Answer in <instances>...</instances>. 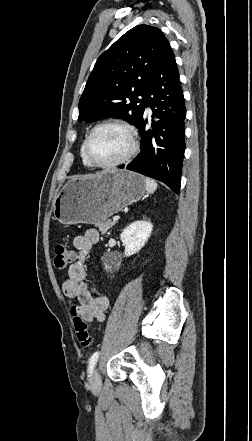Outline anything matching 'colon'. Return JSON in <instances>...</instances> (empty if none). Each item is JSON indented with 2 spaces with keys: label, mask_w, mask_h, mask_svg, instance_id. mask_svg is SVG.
I'll return each mask as SVG.
<instances>
[{
  "label": "colon",
  "mask_w": 252,
  "mask_h": 441,
  "mask_svg": "<svg viewBox=\"0 0 252 441\" xmlns=\"http://www.w3.org/2000/svg\"><path fill=\"white\" fill-rule=\"evenodd\" d=\"M73 260V252L64 244H57L55 246L54 265L58 269L65 268ZM73 323L76 331L77 339L80 345L84 348L91 344V336L86 320L80 314L78 305L72 307Z\"/></svg>",
  "instance_id": "colon-1"
}]
</instances>
